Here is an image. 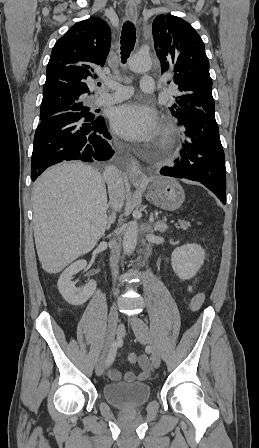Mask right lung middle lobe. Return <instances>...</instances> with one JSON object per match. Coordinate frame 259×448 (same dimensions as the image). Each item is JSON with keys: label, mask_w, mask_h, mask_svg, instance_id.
<instances>
[{"label": "right lung middle lobe", "mask_w": 259, "mask_h": 448, "mask_svg": "<svg viewBox=\"0 0 259 448\" xmlns=\"http://www.w3.org/2000/svg\"><path fill=\"white\" fill-rule=\"evenodd\" d=\"M89 110H90V108L84 104L74 105V106H70L66 109H63L61 111L40 114V121L46 120L50 117L60 115L63 113H70L73 116L83 117V118H85L86 121H90L93 118H95L96 116L93 113L89 112Z\"/></svg>", "instance_id": "right-lung-middle-lobe-1"}]
</instances>
